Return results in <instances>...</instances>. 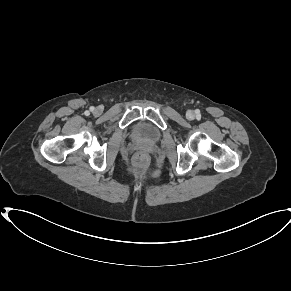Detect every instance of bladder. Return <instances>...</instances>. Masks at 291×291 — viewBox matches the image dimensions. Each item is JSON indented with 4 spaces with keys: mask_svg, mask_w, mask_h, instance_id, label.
<instances>
[{
    "mask_svg": "<svg viewBox=\"0 0 291 291\" xmlns=\"http://www.w3.org/2000/svg\"><path fill=\"white\" fill-rule=\"evenodd\" d=\"M132 135L137 140L153 143L159 140L161 133L154 125L140 121L133 127Z\"/></svg>",
    "mask_w": 291,
    "mask_h": 291,
    "instance_id": "1",
    "label": "bladder"
}]
</instances>
